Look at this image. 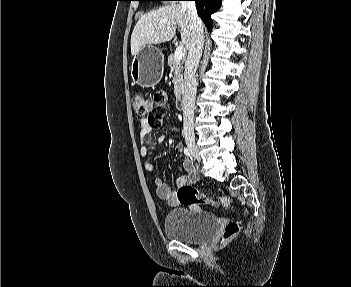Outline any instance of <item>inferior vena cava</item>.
Returning a JSON list of instances; mask_svg holds the SVG:
<instances>
[{"mask_svg":"<svg viewBox=\"0 0 351 287\" xmlns=\"http://www.w3.org/2000/svg\"><path fill=\"white\" fill-rule=\"evenodd\" d=\"M182 7L187 9L192 28L191 45L188 50L184 71L183 94V130L185 139H195L194 134V107L196 97L195 73L199 65L204 45L203 24L196 10L195 1H182Z\"/></svg>","mask_w":351,"mask_h":287,"instance_id":"obj_1","label":"inferior vena cava"}]
</instances>
